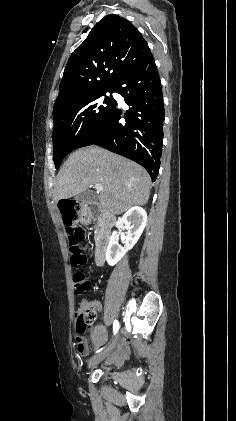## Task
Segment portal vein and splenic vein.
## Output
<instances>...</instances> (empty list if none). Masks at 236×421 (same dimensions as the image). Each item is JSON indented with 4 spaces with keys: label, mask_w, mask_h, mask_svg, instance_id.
Here are the masks:
<instances>
[{
    "label": "portal vein and splenic vein",
    "mask_w": 236,
    "mask_h": 421,
    "mask_svg": "<svg viewBox=\"0 0 236 421\" xmlns=\"http://www.w3.org/2000/svg\"><path fill=\"white\" fill-rule=\"evenodd\" d=\"M94 188H96V190H103L102 184H94Z\"/></svg>",
    "instance_id": "obj_1"
}]
</instances>
